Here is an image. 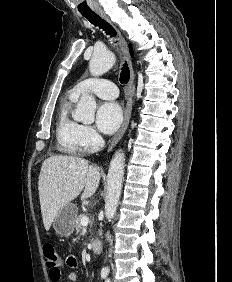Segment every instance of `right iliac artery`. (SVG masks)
<instances>
[{"label":"right iliac artery","mask_w":232,"mask_h":282,"mask_svg":"<svg viewBox=\"0 0 232 282\" xmlns=\"http://www.w3.org/2000/svg\"><path fill=\"white\" fill-rule=\"evenodd\" d=\"M107 271H102L101 272V277H102V279H105L106 277H107Z\"/></svg>","instance_id":"obj_1"}]
</instances>
